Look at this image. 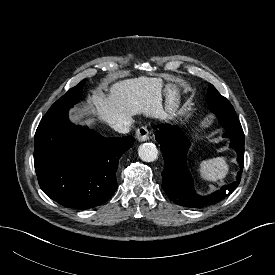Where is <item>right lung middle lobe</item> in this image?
<instances>
[{
	"label": "right lung middle lobe",
	"instance_id": "dd1d6c3e",
	"mask_svg": "<svg viewBox=\"0 0 275 275\" xmlns=\"http://www.w3.org/2000/svg\"><path fill=\"white\" fill-rule=\"evenodd\" d=\"M86 79L71 88L65 95L58 99L48 110L46 115L56 114L75 105L81 98L82 88Z\"/></svg>",
	"mask_w": 275,
	"mask_h": 275
}]
</instances>
